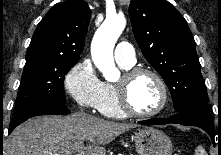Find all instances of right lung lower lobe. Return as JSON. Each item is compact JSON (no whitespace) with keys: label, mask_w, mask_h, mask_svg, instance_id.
Here are the masks:
<instances>
[{"label":"right lung lower lobe","mask_w":221,"mask_h":155,"mask_svg":"<svg viewBox=\"0 0 221 155\" xmlns=\"http://www.w3.org/2000/svg\"><path fill=\"white\" fill-rule=\"evenodd\" d=\"M69 113L70 111L65 107V104L64 105H53V104L41 105L18 118H14L11 121L8 133L10 134L16 126H18L22 122L34 116L46 115V114L66 115Z\"/></svg>","instance_id":"98d812e1"}]
</instances>
